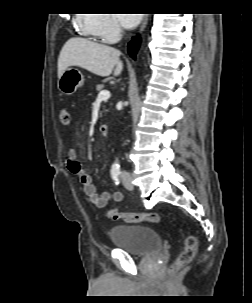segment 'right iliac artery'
<instances>
[{"mask_svg":"<svg viewBox=\"0 0 252 303\" xmlns=\"http://www.w3.org/2000/svg\"><path fill=\"white\" fill-rule=\"evenodd\" d=\"M120 174H121L120 167L118 165H113L111 168V176L116 184H119Z\"/></svg>","mask_w":252,"mask_h":303,"instance_id":"obj_1","label":"right iliac artery"}]
</instances>
